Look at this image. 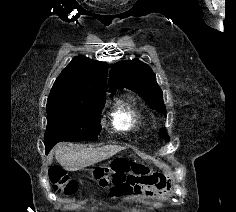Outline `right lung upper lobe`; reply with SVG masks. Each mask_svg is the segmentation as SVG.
Listing matches in <instances>:
<instances>
[{
    "label": "right lung upper lobe",
    "mask_w": 236,
    "mask_h": 212,
    "mask_svg": "<svg viewBox=\"0 0 236 212\" xmlns=\"http://www.w3.org/2000/svg\"><path fill=\"white\" fill-rule=\"evenodd\" d=\"M108 64L76 56L53 84L47 102L82 103L106 99Z\"/></svg>",
    "instance_id": "1"
}]
</instances>
